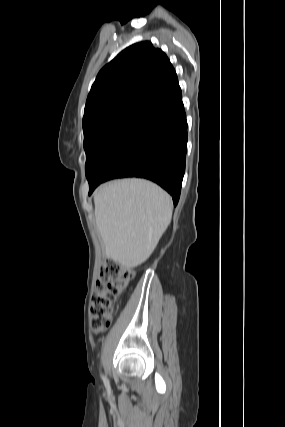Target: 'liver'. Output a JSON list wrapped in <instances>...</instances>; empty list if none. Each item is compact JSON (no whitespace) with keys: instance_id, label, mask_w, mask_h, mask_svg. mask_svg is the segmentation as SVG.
I'll use <instances>...</instances> for the list:
<instances>
[{"instance_id":"1","label":"liver","mask_w":285,"mask_h":427,"mask_svg":"<svg viewBox=\"0 0 285 427\" xmlns=\"http://www.w3.org/2000/svg\"><path fill=\"white\" fill-rule=\"evenodd\" d=\"M97 229L108 258L125 266L145 262L172 218V200L143 179L115 180L94 192Z\"/></svg>"}]
</instances>
